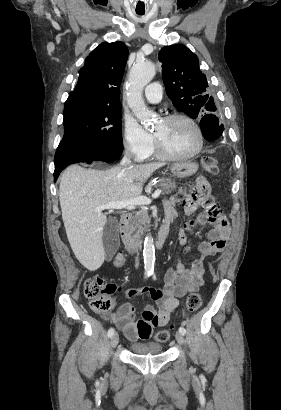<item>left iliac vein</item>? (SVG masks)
Returning a JSON list of instances; mask_svg holds the SVG:
<instances>
[{
	"label": "left iliac vein",
	"instance_id": "left-iliac-vein-1",
	"mask_svg": "<svg viewBox=\"0 0 281 410\" xmlns=\"http://www.w3.org/2000/svg\"><path fill=\"white\" fill-rule=\"evenodd\" d=\"M175 339L180 345L184 344V336H183L182 333L177 332L176 335H175Z\"/></svg>",
	"mask_w": 281,
	"mask_h": 410
}]
</instances>
